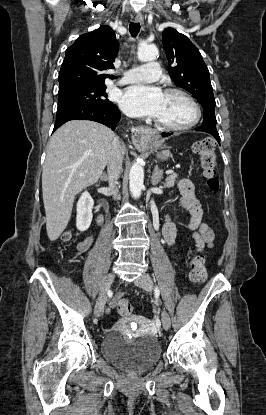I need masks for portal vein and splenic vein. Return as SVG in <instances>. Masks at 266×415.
Returning a JSON list of instances; mask_svg holds the SVG:
<instances>
[{"mask_svg":"<svg viewBox=\"0 0 266 415\" xmlns=\"http://www.w3.org/2000/svg\"><path fill=\"white\" fill-rule=\"evenodd\" d=\"M166 174H174V171L173 170H167ZM81 176H83V175H81Z\"/></svg>","mask_w":266,"mask_h":415,"instance_id":"portal-vein-and-splenic-vein-1","label":"portal vein and splenic vein"}]
</instances>
